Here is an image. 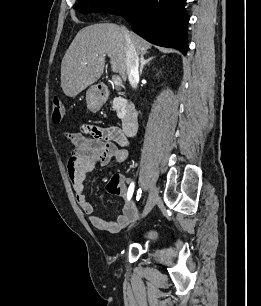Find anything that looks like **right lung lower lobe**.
Listing matches in <instances>:
<instances>
[{
  "label": "right lung lower lobe",
  "instance_id": "right-lung-lower-lobe-1",
  "mask_svg": "<svg viewBox=\"0 0 261 306\" xmlns=\"http://www.w3.org/2000/svg\"><path fill=\"white\" fill-rule=\"evenodd\" d=\"M185 0H130L110 12L122 15L135 33L162 47H172L184 55L187 51L186 30L189 16Z\"/></svg>",
  "mask_w": 261,
  "mask_h": 306
}]
</instances>
